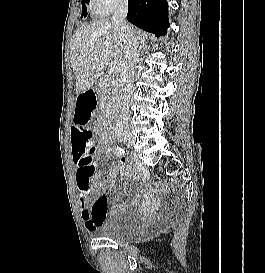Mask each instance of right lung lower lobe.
<instances>
[{
  "mask_svg": "<svg viewBox=\"0 0 265 273\" xmlns=\"http://www.w3.org/2000/svg\"><path fill=\"white\" fill-rule=\"evenodd\" d=\"M127 20L137 27L164 36L169 22L166 17L168 6L166 0H128Z\"/></svg>",
  "mask_w": 265,
  "mask_h": 273,
  "instance_id": "1",
  "label": "right lung lower lobe"
}]
</instances>
